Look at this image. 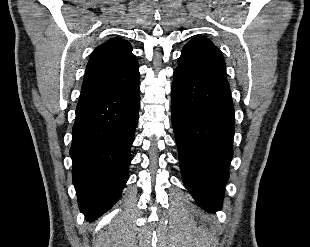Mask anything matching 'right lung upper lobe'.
Listing matches in <instances>:
<instances>
[{"mask_svg":"<svg viewBox=\"0 0 310 247\" xmlns=\"http://www.w3.org/2000/svg\"><path fill=\"white\" fill-rule=\"evenodd\" d=\"M138 67L130 43L111 39L92 52L81 93L130 87L139 82Z\"/></svg>","mask_w":310,"mask_h":247,"instance_id":"cb5924a9","label":"right lung upper lobe"}]
</instances>
